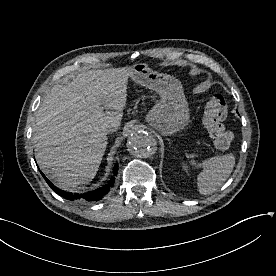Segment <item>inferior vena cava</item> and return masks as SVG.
Here are the masks:
<instances>
[{"instance_id":"inferior-vena-cava-1","label":"inferior vena cava","mask_w":276,"mask_h":276,"mask_svg":"<svg viewBox=\"0 0 276 276\" xmlns=\"http://www.w3.org/2000/svg\"><path fill=\"white\" fill-rule=\"evenodd\" d=\"M119 128V124L116 122H111L108 124H105L103 129L106 133L115 132Z\"/></svg>"}]
</instances>
